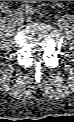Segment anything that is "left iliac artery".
Returning <instances> with one entry per match:
<instances>
[{"instance_id": "obj_1", "label": "left iliac artery", "mask_w": 74, "mask_h": 122, "mask_svg": "<svg viewBox=\"0 0 74 122\" xmlns=\"http://www.w3.org/2000/svg\"><path fill=\"white\" fill-rule=\"evenodd\" d=\"M21 8L23 9V12H25V13H27V14H30V15H33V14L39 12L38 9H36V8L30 6V5H22ZM21 8H20V10H21ZM41 14L47 15L48 13H47V11H42Z\"/></svg>"}]
</instances>
